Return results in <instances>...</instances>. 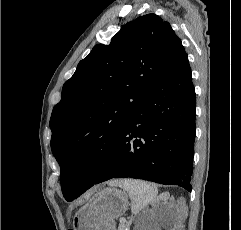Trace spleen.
I'll return each mask as SVG.
<instances>
[{"instance_id":"3e777b00","label":"spleen","mask_w":241,"mask_h":230,"mask_svg":"<svg viewBox=\"0 0 241 230\" xmlns=\"http://www.w3.org/2000/svg\"><path fill=\"white\" fill-rule=\"evenodd\" d=\"M109 185L118 186L127 191L131 198V212L134 215L144 209L158 194L157 187L154 184L141 180H114Z\"/></svg>"}]
</instances>
